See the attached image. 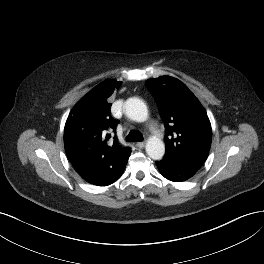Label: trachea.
Listing matches in <instances>:
<instances>
[{
    "label": "trachea",
    "instance_id": "obj_1",
    "mask_svg": "<svg viewBox=\"0 0 264 264\" xmlns=\"http://www.w3.org/2000/svg\"><path fill=\"white\" fill-rule=\"evenodd\" d=\"M126 140L129 142H141L143 140V136L139 131H131Z\"/></svg>",
    "mask_w": 264,
    "mask_h": 264
}]
</instances>
